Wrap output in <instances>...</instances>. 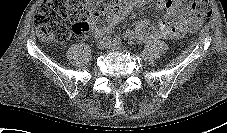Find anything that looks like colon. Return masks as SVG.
<instances>
[{"label": "colon", "instance_id": "5ec220e1", "mask_svg": "<svg viewBox=\"0 0 227 133\" xmlns=\"http://www.w3.org/2000/svg\"><path fill=\"white\" fill-rule=\"evenodd\" d=\"M185 3L199 17L210 18V0H185ZM117 13L118 7L111 0H44L35 16L37 35L46 43H62L71 32L86 31L99 25L102 17Z\"/></svg>", "mask_w": 227, "mask_h": 133}]
</instances>
